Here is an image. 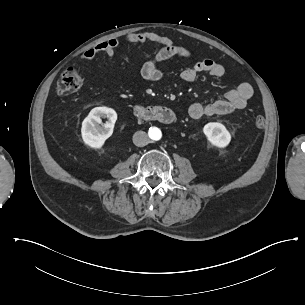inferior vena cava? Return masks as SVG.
Listing matches in <instances>:
<instances>
[{
  "instance_id": "1",
  "label": "inferior vena cava",
  "mask_w": 305,
  "mask_h": 305,
  "mask_svg": "<svg viewBox=\"0 0 305 305\" xmlns=\"http://www.w3.org/2000/svg\"><path fill=\"white\" fill-rule=\"evenodd\" d=\"M133 143L138 147L146 146L149 143V137L144 131H137L133 135Z\"/></svg>"
}]
</instances>
